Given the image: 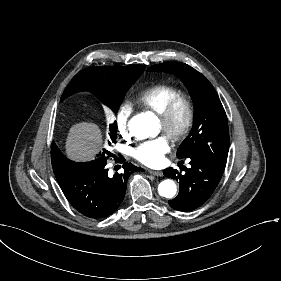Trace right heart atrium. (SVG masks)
<instances>
[{"label":"right heart atrium","mask_w":281,"mask_h":281,"mask_svg":"<svg viewBox=\"0 0 281 281\" xmlns=\"http://www.w3.org/2000/svg\"><path fill=\"white\" fill-rule=\"evenodd\" d=\"M131 114L132 106L127 102L121 103L114 116L116 128L126 140L140 139L142 128L130 120Z\"/></svg>","instance_id":"obj_1"}]
</instances>
